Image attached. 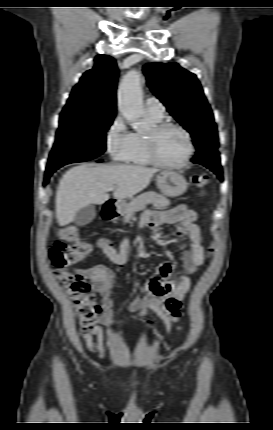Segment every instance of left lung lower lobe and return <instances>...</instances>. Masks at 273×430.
Segmentation results:
<instances>
[{"label": "left lung lower lobe", "mask_w": 273, "mask_h": 430, "mask_svg": "<svg viewBox=\"0 0 273 430\" xmlns=\"http://www.w3.org/2000/svg\"><path fill=\"white\" fill-rule=\"evenodd\" d=\"M191 161L206 166L211 171H213L221 180H223L222 167L220 164L219 152L217 150H204L201 154L192 158Z\"/></svg>", "instance_id": "left-lung-lower-lobe-1"}]
</instances>
